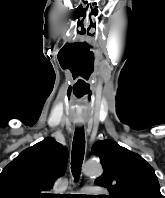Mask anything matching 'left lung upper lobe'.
Instances as JSON below:
<instances>
[{
	"label": "left lung upper lobe",
	"instance_id": "obj_1",
	"mask_svg": "<svg viewBox=\"0 0 165 198\" xmlns=\"http://www.w3.org/2000/svg\"><path fill=\"white\" fill-rule=\"evenodd\" d=\"M92 152L104 169L95 183L109 190L108 198H163L154 169L138 154L113 140L97 141Z\"/></svg>",
	"mask_w": 165,
	"mask_h": 198
}]
</instances>
